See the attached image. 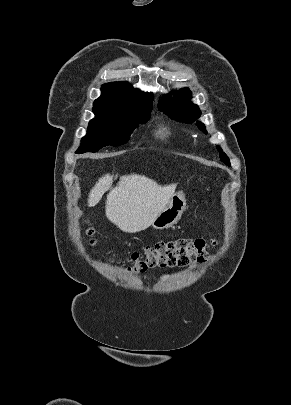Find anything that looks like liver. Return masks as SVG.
Here are the masks:
<instances>
[{
	"label": "liver",
	"instance_id": "liver-1",
	"mask_svg": "<svg viewBox=\"0 0 291 405\" xmlns=\"http://www.w3.org/2000/svg\"><path fill=\"white\" fill-rule=\"evenodd\" d=\"M111 185L112 176L109 174L99 178L89 194L88 206L98 204L104 193L110 190L106 199V217L127 233H136L151 226L176 188V184L161 186L138 174L121 176L115 187L111 188Z\"/></svg>",
	"mask_w": 291,
	"mask_h": 405
}]
</instances>
